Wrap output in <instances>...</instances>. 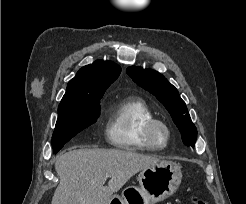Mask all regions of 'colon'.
<instances>
[{"label":"colon","instance_id":"5ec220e1","mask_svg":"<svg viewBox=\"0 0 246 204\" xmlns=\"http://www.w3.org/2000/svg\"><path fill=\"white\" fill-rule=\"evenodd\" d=\"M194 202L195 204H206L204 201L198 199H194Z\"/></svg>","mask_w":246,"mask_h":204}]
</instances>
